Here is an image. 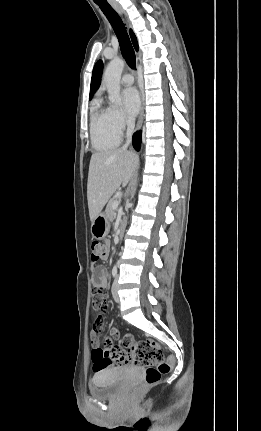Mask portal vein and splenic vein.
Here are the masks:
<instances>
[{"instance_id": "18ae733b", "label": "portal vein and splenic vein", "mask_w": 261, "mask_h": 431, "mask_svg": "<svg viewBox=\"0 0 261 431\" xmlns=\"http://www.w3.org/2000/svg\"><path fill=\"white\" fill-rule=\"evenodd\" d=\"M118 205H119V203H118V202H115V203L113 204V208H114V209H117V208H118Z\"/></svg>"}]
</instances>
